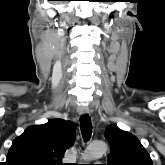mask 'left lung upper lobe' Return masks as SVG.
<instances>
[{
	"instance_id": "5c2ea615",
	"label": "left lung upper lobe",
	"mask_w": 165,
	"mask_h": 165,
	"mask_svg": "<svg viewBox=\"0 0 165 165\" xmlns=\"http://www.w3.org/2000/svg\"><path fill=\"white\" fill-rule=\"evenodd\" d=\"M105 138L111 149L107 165H153L140 141L117 125L112 124L106 128Z\"/></svg>"
}]
</instances>
